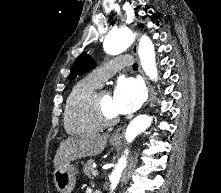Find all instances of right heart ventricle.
<instances>
[{"instance_id":"right-heart-ventricle-1","label":"right heart ventricle","mask_w":221,"mask_h":193,"mask_svg":"<svg viewBox=\"0 0 221 193\" xmlns=\"http://www.w3.org/2000/svg\"><path fill=\"white\" fill-rule=\"evenodd\" d=\"M100 84L91 76L77 81L71 88L64 106V127L71 135L98 132L100 124L87 110L86 101Z\"/></svg>"}]
</instances>
